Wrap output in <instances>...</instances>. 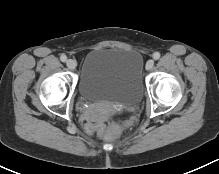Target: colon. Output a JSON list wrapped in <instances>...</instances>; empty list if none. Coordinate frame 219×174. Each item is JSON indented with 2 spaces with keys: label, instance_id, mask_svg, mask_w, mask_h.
<instances>
[{
  "label": "colon",
  "instance_id": "obj_1",
  "mask_svg": "<svg viewBox=\"0 0 219 174\" xmlns=\"http://www.w3.org/2000/svg\"><path fill=\"white\" fill-rule=\"evenodd\" d=\"M85 128L88 133H96L106 140L115 139L122 130L121 125L116 122L109 125H105L101 122H89L86 124Z\"/></svg>",
  "mask_w": 219,
  "mask_h": 174
}]
</instances>
